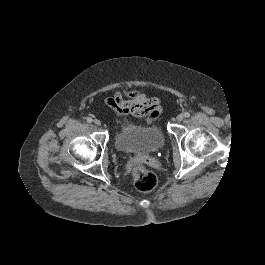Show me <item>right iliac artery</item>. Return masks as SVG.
<instances>
[{
  "instance_id": "1",
  "label": "right iliac artery",
  "mask_w": 265,
  "mask_h": 265,
  "mask_svg": "<svg viewBox=\"0 0 265 265\" xmlns=\"http://www.w3.org/2000/svg\"><path fill=\"white\" fill-rule=\"evenodd\" d=\"M86 121H87L88 123H91L93 120H92V118L87 117Z\"/></svg>"
}]
</instances>
